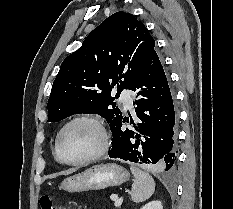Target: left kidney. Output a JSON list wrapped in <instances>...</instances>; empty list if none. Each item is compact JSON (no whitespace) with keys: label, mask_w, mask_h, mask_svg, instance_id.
Masks as SVG:
<instances>
[{"label":"left kidney","mask_w":233,"mask_h":209,"mask_svg":"<svg viewBox=\"0 0 233 209\" xmlns=\"http://www.w3.org/2000/svg\"><path fill=\"white\" fill-rule=\"evenodd\" d=\"M141 209H163V207L159 200H154L145 204Z\"/></svg>","instance_id":"obj_1"}]
</instances>
